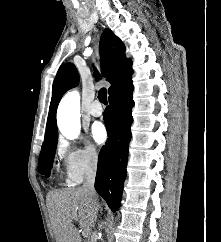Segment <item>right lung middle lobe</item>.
I'll use <instances>...</instances> for the list:
<instances>
[{
	"label": "right lung middle lobe",
	"mask_w": 221,
	"mask_h": 242,
	"mask_svg": "<svg viewBox=\"0 0 221 242\" xmlns=\"http://www.w3.org/2000/svg\"><path fill=\"white\" fill-rule=\"evenodd\" d=\"M58 135L44 139L40 157H39V172L48 176L53 165Z\"/></svg>",
	"instance_id": "right-lung-middle-lobe-1"
}]
</instances>
